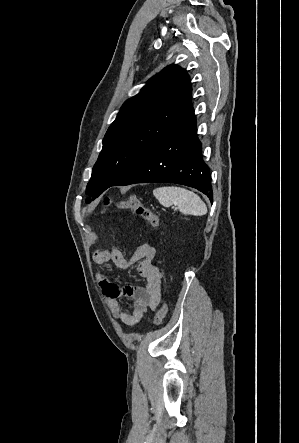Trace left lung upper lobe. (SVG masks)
Masks as SVG:
<instances>
[{
  "label": "left lung upper lobe",
  "instance_id": "left-lung-upper-lobe-1",
  "mask_svg": "<svg viewBox=\"0 0 299 443\" xmlns=\"http://www.w3.org/2000/svg\"><path fill=\"white\" fill-rule=\"evenodd\" d=\"M191 83L176 65L153 76L128 99L103 139L87 184L93 199L122 177L166 133L193 112Z\"/></svg>",
  "mask_w": 299,
  "mask_h": 443
}]
</instances>
